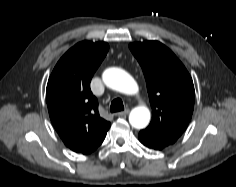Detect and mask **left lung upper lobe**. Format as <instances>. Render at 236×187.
<instances>
[{
	"mask_svg": "<svg viewBox=\"0 0 236 187\" xmlns=\"http://www.w3.org/2000/svg\"><path fill=\"white\" fill-rule=\"evenodd\" d=\"M142 67L152 108L150 125L139 136L173 144L187 128L193 113V81L181 61L158 41L131 43Z\"/></svg>",
	"mask_w": 236,
	"mask_h": 187,
	"instance_id": "left-lung-upper-lobe-1",
	"label": "left lung upper lobe"
}]
</instances>
